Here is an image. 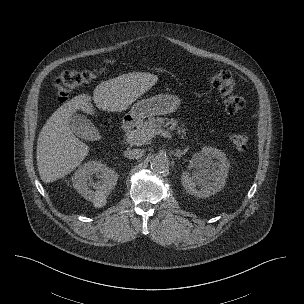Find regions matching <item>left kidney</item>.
I'll list each match as a JSON object with an SVG mask.
<instances>
[{
    "label": "left kidney",
    "mask_w": 304,
    "mask_h": 304,
    "mask_svg": "<svg viewBox=\"0 0 304 304\" xmlns=\"http://www.w3.org/2000/svg\"><path fill=\"white\" fill-rule=\"evenodd\" d=\"M193 163L195 170L183 172L181 176L182 185L190 194L206 198L223 189L230 162L222 150L203 147L193 156Z\"/></svg>",
    "instance_id": "5707ae66"
}]
</instances>
